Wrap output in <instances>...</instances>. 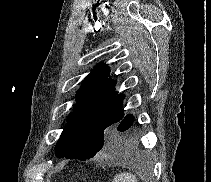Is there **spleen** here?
I'll return each mask as SVG.
<instances>
[{"mask_svg": "<svg viewBox=\"0 0 211 182\" xmlns=\"http://www.w3.org/2000/svg\"><path fill=\"white\" fill-rule=\"evenodd\" d=\"M112 182H137V179L131 173H120L115 176Z\"/></svg>", "mask_w": 211, "mask_h": 182, "instance_id": "spleen-1", "label": "spleen"}]
</instances>
